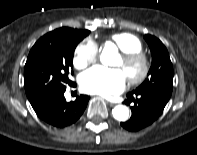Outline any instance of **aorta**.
<instances>
[{
	"instance_id": "762f6f07",
	"label": "aorta",
	"mask_w": 197,
	"mask_h": 155,
	"mask_svg": "<svg viewBox=\"0 0 197 155\" xmlns=\"http://www.w3.org/2000/svg\"><path fill=\"white\" fill-rule=\"evenodd\" d=\"M115 50L112 47H106L101 53L100 60L104 65H108ZM113 117L118 121H126L129 117V109L124 105H117L112 109Z\"/></svg>"
}]
</instances>
